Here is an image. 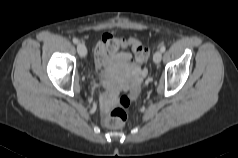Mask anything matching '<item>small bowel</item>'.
Returning a JSON list of instances; mask_svg holds the SVG:
<instances>
[{"label": "small bowel", "mask_w": 238, "mask_h": 158, "mask_svg": "<svg viewBox=\"0 0 238 158\" xmlns=\"http://www.w3.org/2000/svg\"><path fill=\"white\" fill-rule=\"evenodd\" d=\"M118 38L109 33L103 34L101 39L94 47L95 66L98 70L106 71L114 64L120 63L129 68H135L131 54L120 51L115 47ZM113 103L111 95L101 98V104L104 110L110 109Z\"/></svg>", "instance_id": "1"}]
</instances>
